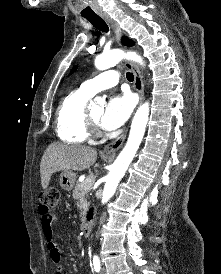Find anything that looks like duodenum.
<instances>
[{"mask_svg":"<svg viewBox=\"0 0 221 274\" xmlns=\"http://www.w3.org/2000/svg\"><path fill=\"white\" fill-rule=\"evenodd\" d=\"M92 222H93V213L90 212L87 215V218H86L85 222L82 224V227H81V234H82L83 237H87L91 233Z\"/></svg>","mask_w":221,"mask_h":274,"instance_id":"410a0bca","label":"duodenum"}]
</instances>
